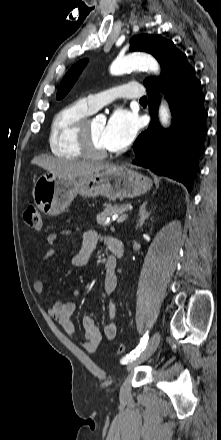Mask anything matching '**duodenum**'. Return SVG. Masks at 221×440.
Segmentation results:
<instances>
[{"label":"duodenum","mask_w":221,"mask_h":440,"mask_svg":"<svg viewBox=\"0 0 221 440\" xmlns=\"http://www.w3.org/2000/svg\"><path fill=\"white\" fill-rule=\"evenodd\" d=\"M109 249L112 253V261H107L105 264L106 270L108 272L115 271L116 268V258H119L123 255L124 245L120 239H112L109 244Z\"/></svg>","instance_id":"1"}]
</instances>
